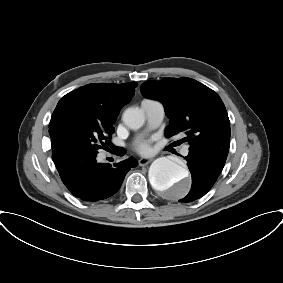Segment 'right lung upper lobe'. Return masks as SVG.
Returning <instances> with one entry per match:
<instances>
[{"label":"right lung upper lobe","mask_w":283,"mask_h":283,"mask_svg":"<svg viewBox=\"0 0 283 283\" xmlns=\"http://www.w3.org/2000/svg\"><path fill=\"white\" fill-rule=\"evenodd\" d=\"M136 86V82L82 86L61 98L50 122L53 124L66 110L75 109L96 118L102 125L114 128L113 124L121 108L131 101ZM55 164L61 165V163Z\"/></svg>","instance_id":"1"}]
</instances>
